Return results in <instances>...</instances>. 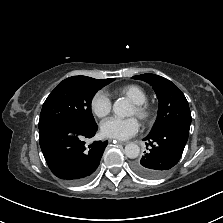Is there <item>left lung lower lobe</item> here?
Wrapping results in <instances>:
<instances>
[{
  "instance_id": "1",
  "label": "left lung lower lobe",
  "mask_w": 223,
  "mask_h": 223,
  "mask_svg": "<svg viewBox=\"0 0 223 223\" xmlns=\"http://www.w3.org/2000/svg\"><path fill=\"white\" fill-rule=\"evenodd\" d=\"M189 130L180 126H170L149 134L144 141L149 148L132 168L136 174L147 179L164 176L180 160L187 143Z\"/></svg>"
}]
</instances>
